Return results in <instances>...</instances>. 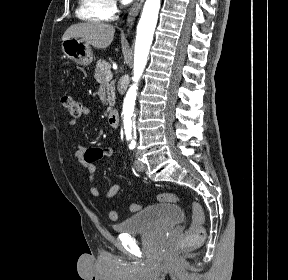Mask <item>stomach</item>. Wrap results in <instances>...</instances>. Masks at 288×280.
Segmentation results:
<instances>
[{"instance_id": "stomach-1", "label": "stomach", "mask_w": 288, "mask_h": 280, "mask_svg": "<svg viewBox=\"0 0 288 280\" xmlns=\"http://www.w3.org/2000/svg\"><path fill=\"white\" fill-rule=\"evenodd\" d=\"M62 51L67 58L78 65L88 66L93 61V52L87 43L69 38L62 41Z\"/></svg>"}]
</instances>
